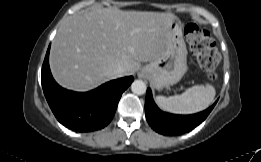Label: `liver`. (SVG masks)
<instances>
[{"label": "liver", "mask_w": 261, "mask_h": 162, "mask_svg": "<svg viewBox=\"0 0 261 162\" xmlns=\"http://www.w3.org/2000/svg\"><path fill=\"white\" fill-rule=\"evenodd\" d=\"M172 13L93 8L68 17L51 46L55 80L75 91H88L116 78L121 65L134 74L141 62L160 57L166 47Z\"/></svg>", "instance_id": "1"}]
</instances>
